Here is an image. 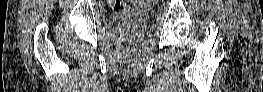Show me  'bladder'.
Segmentation results:
<instances>
[{"label": "bladder", "mask_w": 263, "mask_h": 92, "mask_svg": "<svg viewBox=\"0 0 263 92\" xmlns=\"http://www.w3.org/2000/svg\"><path fill=\"white\" fill-rule=\"evenodd\" d=\"M149 17V13L147 11H141L139 10H131V11H116L112 18L114 20H120V19H139L142 21H146Z\"/></svg>", "instance_id": "obj_1"}]
</instances>
